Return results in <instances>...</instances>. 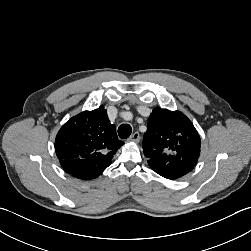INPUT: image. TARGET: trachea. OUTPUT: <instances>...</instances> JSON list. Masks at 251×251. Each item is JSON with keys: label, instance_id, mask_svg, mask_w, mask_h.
<instances>
[{"label": "trachea", "instance_id": "trachea-1", "mask_svg": "<svg viewBox=\"0 0 251 251\" xmlns=\"http://www.w3.org/2000/svg\"><path fill=\"white\" fill-rule=\"evenodd\" d=\"M132 128L129 124H122L118 128V135L121 139H126L131 135Z\"/></svg>", "mask_w": 251, "mask_h": 251}]
</instances>
